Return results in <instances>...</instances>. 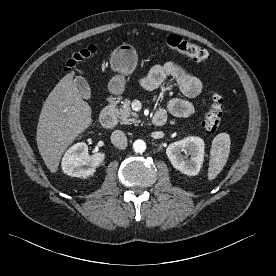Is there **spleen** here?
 Masks as SVG:
<instances>
[{
  "instance_id": "spleen-1",
  "label": "spleen",
  "mask_w": 276,
  "mask_h": 276,
  "mask_svg": "<svg viewBox=\"0 0 276 276\" xmlns=\"http://www.w3.org/2000/svg\"><path fill=\"white\" fill-rule=\"evenodd\" d=\"M230 136L227 133H219L212 141L208 179L211 181L217 177L225 166L230 153Z\"/></svg>"
}]
</instances>
